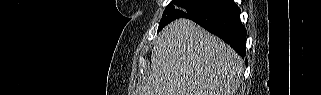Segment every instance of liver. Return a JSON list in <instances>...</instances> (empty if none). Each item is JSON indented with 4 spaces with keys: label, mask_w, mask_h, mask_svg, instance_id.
<instances>
[{
    "label": "liver",
    "mask_w": 321,
    "mask_h": 95,
    "mask_svg": "<svg viewBox=\"0 0 321 95\" xmlns=\"http://www.w3.org/2000/svg\"><path fill=\"white\" fill-rule=\"evenodd\" d=\"M243 71V61L232 48L181 18L155 41L151 72L139 95H234Z\"/></svg>",
    "instance_id": "obj_1"
}]
</instances>
